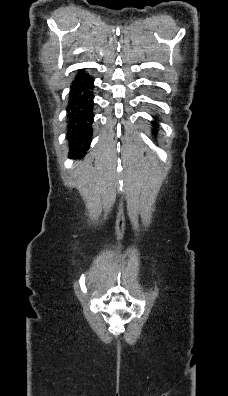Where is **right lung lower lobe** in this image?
I'll return each instance as SVG.
<instances>
[{"instance_id":"98d812e1","label":"right lung lower lobe","mask_w":228,"mask_h":396,"mask_svg":"<svg viewBox=\"0 0 228 396\" xmlns=\"http://www.w3.org/2000/svg\"><path fill=\"white\" fill-rule=\"evenodd\" d=\"M94 79L80 70L72 82L68 106V141L71 156L86 154L93 133Z\"/></svg>"}]
</instances>
